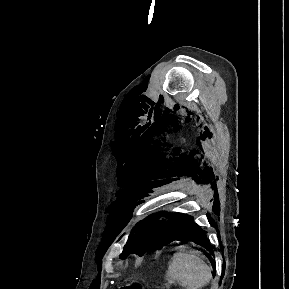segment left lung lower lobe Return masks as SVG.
<instances>
[{
    "instance_id": "left-lung-lower-lobe-1",
    "label": "left lung lower lobe",
    "mask_w": 289,
    "mask_h": 289,
    "mask_svg": "<svg viewBox=\"0 0 289 289\" xmlns=\"http://www.w3.org/2000/svg\"><path fill=\"white\" fill-rule=\"evenodd\" d=\"M166 218L168 239L167 242L172 240L179 241H192L212 253V248L208 243L206 232L203 231L194 221L193 218L186 214L179 213H162ZM214 268V266H213Z\"/></svg>"
}]
</instances>
